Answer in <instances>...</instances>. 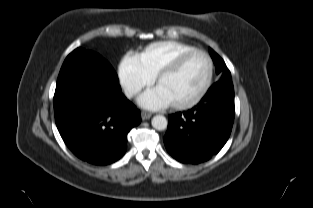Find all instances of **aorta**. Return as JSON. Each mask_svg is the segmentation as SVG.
<instances>
[{
	"instance_id": "1",
	"label": "aorta",
	"mask_w": 313,
	"mask_h": 208,
	"mask_svg": "<svg viewBox=\"0 0 313 208\" xmlns=\"http://www.w3.org/2000/svg\"><path fill=\"white\" fill-rule=\"evenodd\" d=\"M151 123H152L153 128H155L156 130H159V131L165 130L167 128V125H168L167 119L162 115L154 116L152 118Z\"/></svg>"
}]
</instances>
